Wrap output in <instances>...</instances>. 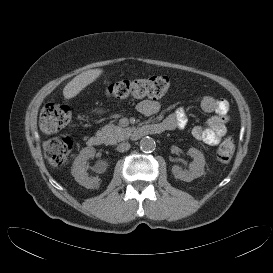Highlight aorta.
Masks as SVG:
<instances>
[{
    "label": "aorta",
    "mask_w": 273,
    "mask_h": 273,
    "mask_svg": "<svg viewBox=\"0 0 273 273\" xmlns=\"http://www.w3.org/2000/svg\"><path fill=\"white\" fill-rule=\"evenodd\" d=\"M139 146L143 152H152L156 148V143L153 138L146 136L140 140Z\"/></svg>",
    "instance_id": "1"
}]
</instances>
